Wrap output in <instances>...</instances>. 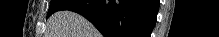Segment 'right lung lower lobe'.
<instances>
[{"label":"right lung lower lobe","mask_w":219,"mask_h":37,"mask_svg":"<svg viewBox=\"0 0 219 37\" xmlns=\"http://www.w3.org/2000/svg\"><path fill=\"white\" fill-rule=\"evenodd\" d=\"M158 0H73L60 9L88 19L104 37H150Z\"/></svg>","instance_id":"98d812e1"}]
</instances>
